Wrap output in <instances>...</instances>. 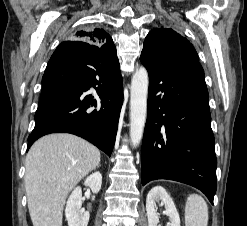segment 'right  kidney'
I'll list each match as a JSON object with an SVG mask.
<instances>
[{"instance_id": "obj_1", "label": "right kidney", "mask_w": 247, "mask_h": 226, "mask_svg": "<svg viewBox=\"0 0 247 226\" xmlns=\"http://www.w3.org/2000/svg\"><path fill=\"white\" fill-rule=\"evenodd\" d=\"M84 184L89 189L97 194L102 185V175L100 172H94L89 175ZM82 190L81 187H76L67 200L65 209V216L68 222V226H87L90 218L88 211H84L82 208Z\"/></svg>"}]
</instances>
